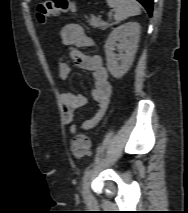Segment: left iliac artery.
Here are the masks:
<instances>
[{"label": "left iliac artery", "mask_w": 188, "mask_h": 213, "mask_svg": "<svg viewBox=\"0 0 188 213\" xmlns=\"http://www.w3.org/2000/svg\"><path fill=\"white\" fill-rule=\"evenodd\" d=\"M92 169H88L85 171L84 176H83V181L85 182L87 178L91 175Z\"/></svg>", "instance_id": "44dca946"}]
</instances>
